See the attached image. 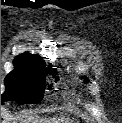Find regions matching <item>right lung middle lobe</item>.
<instances>
[{
  "mask_svg": "<svg viewBox=\"0 0 122 123\" xmlns=\"http://www.w3.org/2000/svg\"><path fill=\"white\" fill-rule=\"evenodd\" d=\"M48 72L58 80L56 71L14 64V70L5 78L6 90L1 95V105L6 101L38 103L43 99L45 78ZM51 87V86H50Z\"/></svg>",
  "mask_w": 122,
  "mask_h": 123,
  "instance_id": "obj_1",
  "label": "right lung middle lobe"
}]
</instances>
